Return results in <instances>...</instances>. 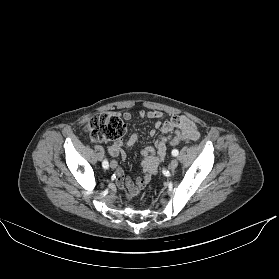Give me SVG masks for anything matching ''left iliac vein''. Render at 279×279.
I'll use <instances>...</instances> for the list:
<instances>
[{
    "label": "left iliac vein",
    "mask_w": 279,
    "mask_h": 279,
    "mask_svg": "<svg viewBox=\"0 0 279 279\" xmlns=\"http://www.w3.org/2000/svg\"><path fill=\"white\" fill-rule=\"evenodd\" d=\"M178 166V161L177 159H173L170 164H169V169L170 170H175Z\"/></svg>",
    "instance_id": "4c4485c4"
}]
</instances>
